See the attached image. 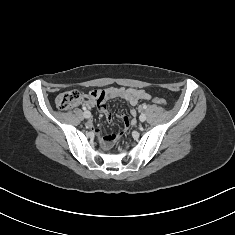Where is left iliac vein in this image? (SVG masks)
<instances>
[{
    "mask_svg": "<svg viewBox=\"0 0 235 235\" xmlns=\"http://www.w3.org/2000/svg\"><path fill=\"white\" fill-rule=\"evenodd\" d=\"M139 120H140L141 122H144V121L146 120V115L142 113V114L140 115V117H139Z\"/></svg>",
    "mask_w": 235,
    "mask_h": 235,
    "instance_id": "left-iliac-vein-1",
    "label": "left iliac vein"
}]
</instances>
